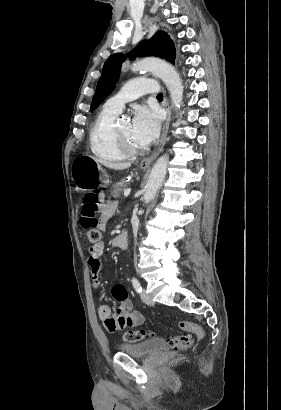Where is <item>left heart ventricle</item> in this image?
I'll return each instance as SVG.
<instances>
[{
    "instance_id": "b2bd125f",
    "label": "left heart ventricle",
    "mask_w": 281,
    "mask_h": 410,
    "mask_svg": "<svg viewBox=\"0 0 281 410\" xmlns=\"http://www.w3.org/2000/svg\"><path fill=\"white\" fill-rule=\"evenodd\" d=\"M119 131L121 134L135 147L141 148V145H139L132 136V125L130 122H122L118 126Z\"/></svg>"
}]
</instances>
